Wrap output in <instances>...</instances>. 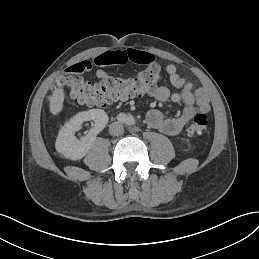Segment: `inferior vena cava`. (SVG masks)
I'll return each mask as SVG.
<instances>
[{
	"label": "inferior vena cava",
	"mask_w": 259,
	"mask_h": 259,
	"mask_svg": "<svg viewBox=\"0 0 259 259\" xmlns=\"http://www.w3.org/2000/svg\"><path fill=\"white\" fill-rule=\"evenodd\" d=\"M109 132L111 135L113 136H118L124 133V128L123 125L119 122H113L110 126H109Z\"/></svg>",
	"instance_id": "602c4592"
}]
</instances>
